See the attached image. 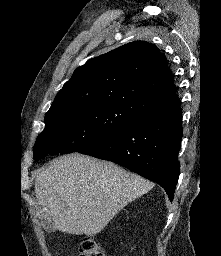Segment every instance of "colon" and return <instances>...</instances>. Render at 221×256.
<instances>
[{
    "label": "colon",
    "mask_w": 221,
    "mask_h": 256,
    "mask_svg": "<svg viewBox=\"0 0 221 256\" xmlns=\"http://www.w3.org/2000/svg\"><path fill=\"white\" fill-rule=\"evenodd\" d=\"M79 256H105V253L94 238L84 237L80 243Z\"/></svg>",
    "instance_id": "5ec220e1"
}]
</instances>
